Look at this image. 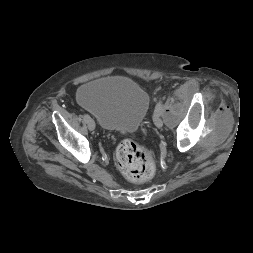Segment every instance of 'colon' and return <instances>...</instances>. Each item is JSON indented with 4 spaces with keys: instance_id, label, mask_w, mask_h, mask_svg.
I'll list each match as a JSON object with an SVG mask.
<instances>
[{
    "instance_id": "1",
    "label": "colon",
    "mask_w": 253,
    "mask_h": 253,
    "mask_svg": "<svg viewBox=\"0 0 253 253\" xmlns=\"http://www.w3.org/2000/svg\"><path fill=\"white\" fill-rule=\"evenodd\" d=\"M116 161L125 178L133 183L147 182L155 175L150 153L133 138H125L118 145Z\"/></svg>"
}]
</instances>
